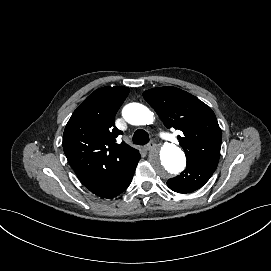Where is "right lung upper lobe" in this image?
Segmentation results:
<instances>
[{
  "instance_id": "cb5924a9",
  "label": "right lung upper lobe",
  "mask_w": 271,
  "mask_h": 271,
  "mask_svg": "<svg viewBox=\"0 0 271 271\" xmlns=\"http://www.w3.org/2000/svg\"><path fill=\"white\" fill-rule=\"evenodd\" d=\"M129 93L127 87L95 90L74 111L63 133V150L80 181L97 188L119 165L131 161L139 152L125 142L115 127L116 112Z\"/></svg>"
}]
</instances>
